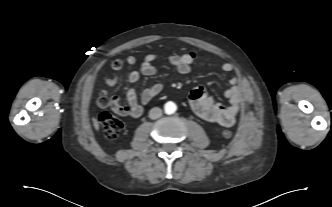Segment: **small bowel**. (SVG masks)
I'll list each match as a JSON object with an SVG mask.
<instances>
[{"mask_svg":"<svg viewBox=\"0 0 332 207\" xmlns=\"http://www.w3.org/2000/svg\"><path fill=\"white\" fill-rule=\"evenodd\" d=\"M161 59V56L156 53L148 54L144 57L140 72L132 70L129 72L127 79L130 83H135L139 80L140 74L144 76H154L157 69L153 64L155 61ZM167 62L173 65L180 74L186 75L191 71V66L197 60V55L194 52H187L181 55H170L166 58ZM134 58L129 57L127 64H133ZM221 70L224 73H233L235 71L232 64L225 62L221 65ZM105 83L109 87H113L117 83V75L113 74L105 79ZM230 87L226 91V97L229 100L227 106H223L215 102L202 86L195 87L189 94V102L193 111L205 121L215 123L221 126L230 127L236 122V117L243 101L242 93L239 88V78L234 74L229 79ZM162 91L160 84H154L144 89L138 99L135 90L131 87L126 89L125 95L128 107L127 112L123 115H128L133 118H138L143 112V106L148 104L154 97Z\"/></svg>","mask_w":332,"mask_h":207,"instance_id":"small-bowel-1","label":"small bowel"}]
</instances>
